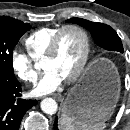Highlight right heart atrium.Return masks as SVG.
<instances>
[{"label":"right heart atrium","instance_id":"right-heart-atrium-1","mask_svg":"<svg viewBox=\"0 0 130 130\" xmlns=\"http://www.w3.org/2000/svg\"><path fill=\"white\" fill-rule=\"evenodd\" d=\"M10 63L14 73L21 80L28 83L36 81L38 73L34 67V60L29 54L14 49L10 56Z\"/></svg>","mask_w":130,"mask_h":130}]
</instances>
